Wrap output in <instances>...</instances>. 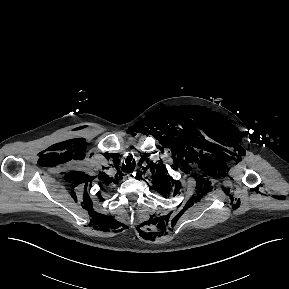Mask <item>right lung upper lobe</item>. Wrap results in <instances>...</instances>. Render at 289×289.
Instances as JSON below:
<instances>
[{
	"label": "right lung upper lobe",
	"mask_w": 289,
	"mask_h": 289,
	"mask_svg": "<svg viewBox=\"0 0 289 289\" xmlns=\"http://www.w3.org/2000/svg\"><path fill=\"white\" fill-rule=\"evenodd\" d=\"M115 180H112L111 178H108L106 176H102L101 177V182H100V186L102 187V185L108 186L111 182H113Z\"/></svg>",
	"instance_id": "right-lung-upper-lobe-1"
}]
</instances>
